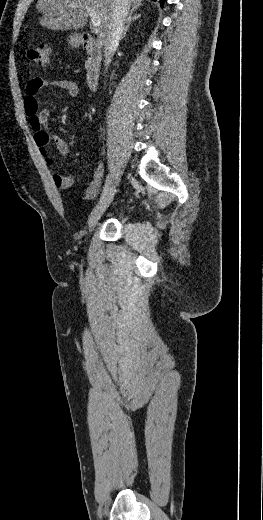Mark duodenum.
I'll use <instances>...</instances> for the list:
<instances>
[{
  "label": "duodenum",
  "instance_id": "obj_1",
  "mask_svg": "<svg viewBox=\"0 0 263 520\" xmlns=\"http://www.w3.org/2000/svg\"><path fill=\"white\" fill-rule=\"evenodd\" d=\"M82 46L88 55L85 73L86 84L90 90L94 91L96 90L99 82L102 51L100 46L89 34H84L82 36Z\"/></svg>",
  "mask_w": 263,
  "mask_h": 520
}]
</instances>
